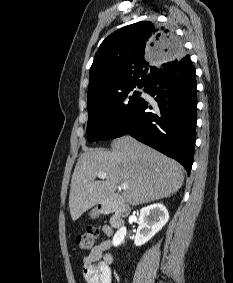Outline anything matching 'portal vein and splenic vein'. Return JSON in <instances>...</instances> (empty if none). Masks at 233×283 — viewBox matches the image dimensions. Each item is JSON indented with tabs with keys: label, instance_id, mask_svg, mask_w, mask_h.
I'll use <instances>...</instances> for the list:
<instances>
[{
	"label": "portal vein and splenic vein",
	"instance_id": "18ae733b",
	"mask_svg": "<svg viewBox=\"0 0 233 283\" xmlns=\"http://www.w3.org/2000/svg\"><path fill=\"white\" fill-rule=\"evenodd\" d=\"M96 176H97L98 178H105V177H106V173H98ZM121 188H122L123 190H126V189L129 188V185L126 184V183H121Z\"/></svg>",
	"mask_w": 233,
	"mask_h": 283
}]
</instances>
